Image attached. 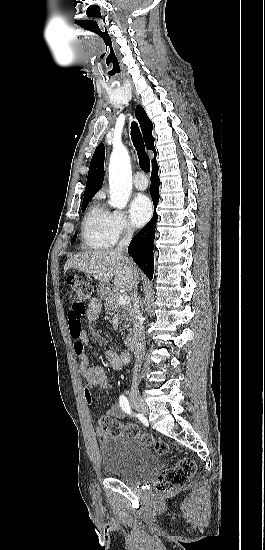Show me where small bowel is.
I'll list each match as a JSON object with an SVG mask.
<instances>
[{
	"mask_svg": "<svg viewBox=\"0 0 265 550\" xmlns=\"http://www.w3.org/2000/svg\"><path fill=\"white\" fill-rule=\"evenodd\" d=\"M101 312V302L98 299H93L87 307V319L89 321H95ZM73 322L77 326L70 329L71 335L76 339L74 343V352L79 357V371L83 378L86 380L85 396L90 402L92 395L91 389L93 387H99L101 389H108L110 387L109 378L102 365L93 363V352L90 347V338L88 333L81 327V322L78 319H74ZM79 326V327H78ZM94 339L98 343H104L105 339L97 334L93 333ZM105 357L112 368L121 370L129 361V355L127 353H119L113 349H107L105 351ZM110 417L123 418V409L119 404L111 406L106 413ZM100 436L104 435L98 431Z\"/></svg>",
	"mask_w": 265,
	"mask_h": 550,
	"instance_id": "small-bowel-1",
	"label": "small bowel"
}]
</instances>
